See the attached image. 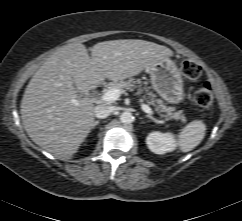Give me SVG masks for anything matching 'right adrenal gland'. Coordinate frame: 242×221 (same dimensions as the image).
Instances as JSON below:
<instances>
[{"label":"right adrenal gland","instance_id":"right-adrenal-gland-1","mask_svg":"<svg viewBox=\"0 0 242 221\" xmlns=\"http://www.w3.org/2000/svg\"><path fill=\"white\" fill-rule=\"evenodd\" d=\"M99 123H100L99 120L95 121V122H94V125H93V128H95Z\"/></svg>","mask_w":242,"mask_h":221}]
</instances>
